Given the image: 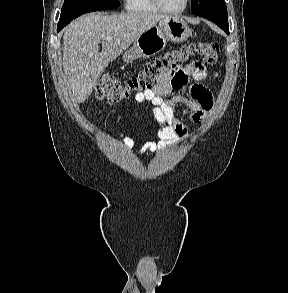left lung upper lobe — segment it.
<instances>
[{
  "label": "left lung upper lobe",
  "instance_id": "left-lung-upper-lobe-1",
  "mask_svg": "<svg viewBox=\"0 0 288 293\" xmlns=\"http://www.w3.org/2000/svg\"><path fill=\"white\" fill-rule=\"evenodd\" d=\"M192 13L216 23L224 31L228 28V14L224 0H192Z\"/></svg>",
  "mask_w": 288,
  "mask_h": 293
}]
</instances>
